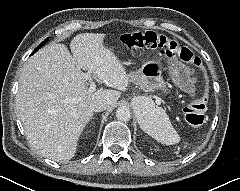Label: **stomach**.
I'll use <instances>...</instances> for the list:
<instances>
[{"label":"stomach","instance_id":"0dacf381","mask_svg":"<svg viewBox=\"0 0 240 191\" xmlns=\"http://www.w3.org/2000/svg\"><path fill=\"white\" fill-rule=\"evenodd\" d=\"M129 81L145 89H164L166 83L162 76V64L160 61H147L136 71L128 73ZM146 112L145 108H137L136 114L143 128V117Z\"/></svg>","mask_w":240,"mask_h":191}]
</instances>
